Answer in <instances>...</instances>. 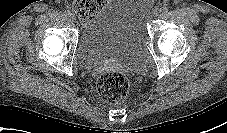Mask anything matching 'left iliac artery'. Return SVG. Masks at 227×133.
I'll use <instances>...</instances> for the list:
<instances>
[{"mask_svg":"<svg viewBox=\"0 0 227 133\" xmlns=\"http://www.w3.org/2000/svg\"><path fill=\"white\" fill-rule=\"evenodd\" d=\"M168 7H162L161 9H160V12H162V13H167L168 12Z\"/></svg>","mask_w":227,"mask_h":133,"instance_id":"left-iliac-artery-1","label":"left iliac artery"}]
</instances>
